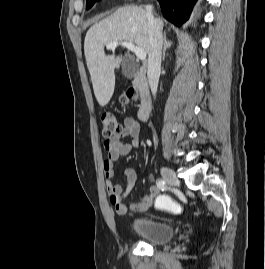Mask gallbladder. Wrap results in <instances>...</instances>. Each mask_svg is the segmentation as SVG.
Returning a JSON list of instances; mask_svg holds the SVG:
<instances>
[{
  "mask_svg": "<svg viewBox=\"0 0 265 269\" xmlns=\"http://www.w3.org/2000/svg\"><path fill=\"white\" fill-rule=\"evenodd\" d=\"M122 70L125 76L129 78H131L133 74L137 71L136 67L132 64H129L127 61L123 63Z\"/></svg>",
  "mask_w": 265,
  "mask_h": 269,
  "instance_id": "obj_1",
  "label": "gallbladder"
}]
</instances>
